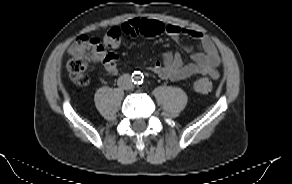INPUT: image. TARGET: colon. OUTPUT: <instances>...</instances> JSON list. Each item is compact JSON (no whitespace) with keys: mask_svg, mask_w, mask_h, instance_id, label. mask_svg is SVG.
Here are the masks:
<instances>
[{"mask_svg":"<svg viewBox=\"0 0 292 184\" xmlns=\"http://www.w3.org/2000/svg\"><path fill=\"white\" fill-rule=\"evenodd\" d=\"M141 31L145 37H155L163 33V26L159 21L147 19L143 23ZM121 37L120 27L111 28L102 39L88 35L77 37L69 48L67 62V69L72 81L78 86L88 85L89 76L86 72L88 63L97 53L118 47ZM212 87V82L208 78H200L194 83V89L202 94L209 93Z\"/></svg>","mask_w":292,"mask_h":184,"instance_id":"5ec220e1","label":"colon"}]
</instances>
